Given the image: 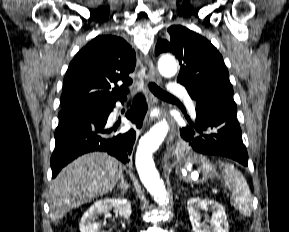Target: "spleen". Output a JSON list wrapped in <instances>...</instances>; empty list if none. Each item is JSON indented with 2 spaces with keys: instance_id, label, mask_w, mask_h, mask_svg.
<instances>
[{
  "instance_id": "spleen-1",
  "label": "spleen",
  "mask_w": 289,
  "mask_h": 232,
  "mask_svg": "<svg viewBox=\"0 0 289 232\" xmlns=\"http://www.w3.org/2000/svg\"><path fill=\"white\" fill-rule=\"evenodd\" d=\"M223 167L222 177L231 192V204L243 215L250 216L252 212V196L249 185L240 171L234 165L219 161Z\"/></svg>"
}]
</instances>
